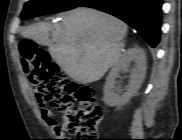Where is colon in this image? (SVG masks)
<instances>
[{"mask_svg":"<svg viewBox=\"0 0 182 140\" xmlns=\"http://www.w3.org/2000/svg\"><path fill=\"white\" fill-rule=\"evenodd\" d=\"M23 71L37 99L50 103L63 115L64 129L76 140H96L102 108L95 90L71 80L36 43H19Z\"/></svg>","mask_w":182,"mask_h":140,"instance_id":"colon-1","label":"colon"}]
</instances>
